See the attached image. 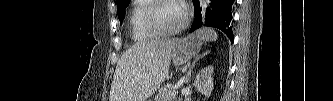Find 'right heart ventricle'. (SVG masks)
<instances>
[{
  "label": "right heart ventricle",
  "mask_w": 333,
  "mask_h": 101,
  "mask_svg": "<svg viewBox=\"0 0 333 101\" xmlns=\"http://www.w3.org/2000/svg\"><path fill=\"white\" fill-rule=\"evenodd\" d=\"M150 3V0L134 1V5L130 11L129 29L132 39L136 42H146L156 37L145 28L143 21L144 13Z\"/></svg>",
  "instance_id": "right-heart-ventricle-1"
}]
</instances>
